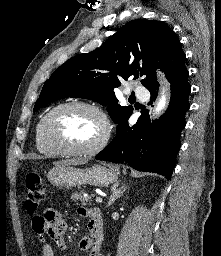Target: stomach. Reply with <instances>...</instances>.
I'll return each mask as SVG.
<instances>
[{
    "mask_svg": "<svg viewBox=\"0 0 221 256\" xmlns=\"http://www.w3.org/2000/svg\"><path fill=\"white\" fill-rule=\"evenodd\" d=\"M47 178L54 186L75 187L93 185L108 187L118 179V169L113 166L94 165L87 169H80L71 165H59L52 168Z\"/></svg>",
    "mask_w": 221,
    "mask_h": 256,
    "instance_id": "1",
    "label": "stomach"
}]
</instances>
